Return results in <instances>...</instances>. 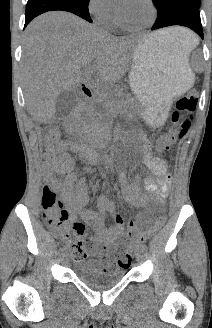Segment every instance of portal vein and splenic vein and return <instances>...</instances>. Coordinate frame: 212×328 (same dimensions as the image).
Instances as JSON below:
<instances>
[{
    "instance_id": "18ae733b",
    "label": "portal vein and splenic vein",
    "mask_w": 212,
    "mask_h": 328,
    "mask_svg": "<svg viewBox=\"0 0 212 328\" xmlns=\"http://www.w3.org/2000/svg\"><path fill=\"white\" fill-rule=\"evenodd\" d=\"M86 69H87V70H90V69H91V67H90V66H86Z\"/></svg>"
}]
</instances>
